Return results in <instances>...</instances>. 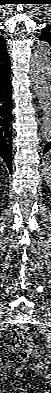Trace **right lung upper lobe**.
I'll return each mask as SVG.
<instances>
[{
    "label": "right lung upper lobe",
    "instance_id": "right-lung-upper-lobe-1",
    "mask_svg": "<svg viewBox=\"0 0 51 393\" xmlns=\"http://www.w3.org/2000/svg\"><path fill=\"white\" fill-rule=\"evenodd\" d=\"M10 69V60L6 49L5 40L0 35V74Z\"/></svg>",
    "mask_w": 51,
    "mask_h": 393
}]
</instances>
